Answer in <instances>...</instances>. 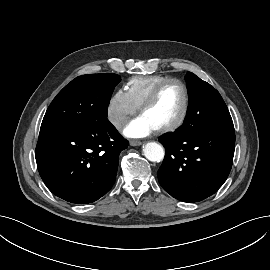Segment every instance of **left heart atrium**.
<instances>
[{"mask_svg":"<svg viewBox=\"0 0 270 270\" xmlns=\"http://www.w3.org/2000/svg\"><path fill=\"white\" fill-rule=\"evenodd\" d=\"M156 128L142 115L130 121L123 130L126 137L143 138L153 133Z\"/></svg>","mask_w":270,"mask_h":270,"instance_id":"39dd6f15","label":"left heart atrium"}]
</instances>
